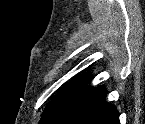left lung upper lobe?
Wrapping results in <instances>:
<instances>
[{"label": "left lung upper lobe", "instance_id": "obj_1", "mask_svg": "<svg viewBox=\"0 0 145 124\" xmlns=\"http://www.w3.org/2000/svg\"><path fill=\"white\" fill-rule=\"evenodd\" d=\"M86 83L87 81L84 78L78 79L70 83L56 95L46 106L40 124H46V122L57 115L59 111L86 85Z\"/></svg>", "mask_w": 145, "mask_h": 124}]
</instances>
